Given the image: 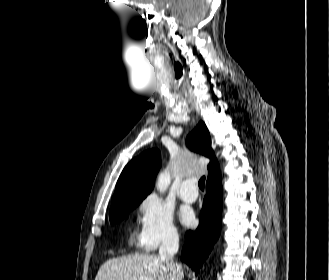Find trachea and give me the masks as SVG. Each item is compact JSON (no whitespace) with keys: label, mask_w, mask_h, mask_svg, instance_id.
I'll use <instances>...</instances> for the list:
<instances>
[{"label":"trachea","mask_w":329,"mask_h":280,"mask_svg":"<svg viewBox=\"0 0 329 280\" xmlns=\"http://www.w3.org/2000/svg\"><path fill=\"white\" fill-rule=\"evenodd\" d=\"M198 185H199V188L201 190H204V187H205V176H202L198 182Z\"/></svg>","instance_id":"1"}]
</instances>
